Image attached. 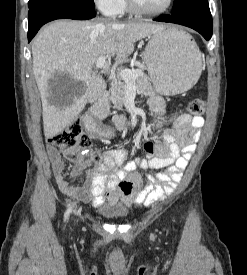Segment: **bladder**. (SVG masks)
Segmentation results:
<instances>
[{
  "label": "bladder",
  "instance_id": "bladder-1",
  "mask_svg": "<svg viewBox=\"0 0 247 275\" xmlns=\"http://www.w3.org/2000/svg\"><path fill=\"white\" fill-rule=\"evenodd\" d=\"M98 212L107 220L121 221L127 218V211L119 205L116 206H104L98 208Z\"/></svg>",
  "mask_w": 247,
  "mask_h": 275
}]
</instances>
